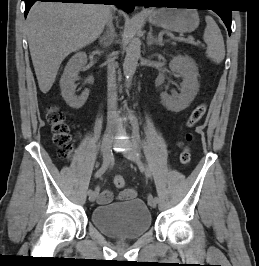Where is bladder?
Listing matches in <instances>:
<instances>
[{
  "label": "bladder",
  "instance_id": "bladder-1",
  "mask_svg": "<svg viewBox=\"0 0 259 266\" xmlns=\"http://www.w3.org/2000/svg\"><path fill=\"white\" fill-rule=\"evenodd\" d=\"M91 222L106 236L133 240L150 230L152 216L143 200L133 198L95 207L91 212Z\"/></svg>",
  "mask_w": 259,
  "mask_h": 266
}]
</instances>
